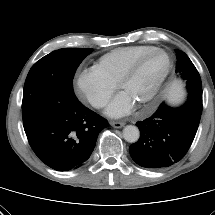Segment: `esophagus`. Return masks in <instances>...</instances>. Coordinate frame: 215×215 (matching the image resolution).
Masks as SVG:
<instances>
[{"instance_id": "esophagus-1", "label": "esophagus", "mask_w": 215, "mask_h": 215, "mask_svg": "<svg viewBox=\"0 0 215 215\" xmlns=\"http://www.w3.org/2000/svg\"><path fill=\"white\" fill-rule=\"evenodd\" d=\"M110 125L113 126L114 128H122L125 125V123L120 121H111Z\"/></svg>"}]
</instances>
